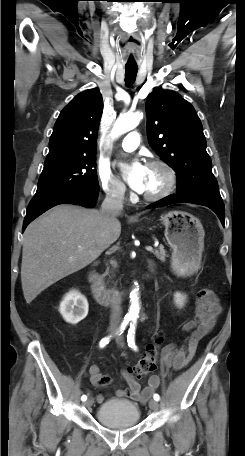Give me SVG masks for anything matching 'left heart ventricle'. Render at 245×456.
Returning a JSON list of instances; mask_svg holds the SVG:
<instances>
[{
	"instance_id": "obj_1",
	"label": "left heart ventricle",
	"mask_w": 245,
	"mask_h": 456,
	"mask_svg": "<svg viewBox=\"0 0 245 456\" xmlns=\"http://www.w3.org/2000/svg\"><path fill=\"white\" fill-rule=\"evenodd\" d=\"M166 176L163 170L156 167L146 168L145 187L142 193L158 192L165 184Z\"/></svg>"
}]
</instances>
